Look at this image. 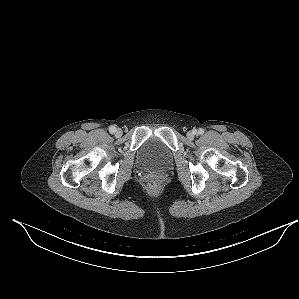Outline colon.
Here are the masks:
<instances>
[{"instance_id": "obj_1", "label": "colon", "mask_w": 299, "mask_h": 299, "mask_svg": "<svg viewBox=\"0 0 299 299\" xmlns=\"http://www.w3.org/2000/svg\"><path fill=\"white\" fill-rule=\"evenodd\" d=\"M149 186H150L151 189L154 190V189H157V187H158V183H157L155 180H152V181L150 182Z\"/></svg>"}]
</instances>
